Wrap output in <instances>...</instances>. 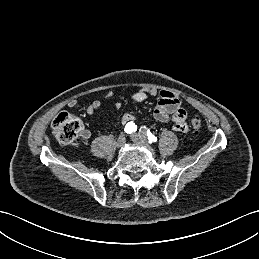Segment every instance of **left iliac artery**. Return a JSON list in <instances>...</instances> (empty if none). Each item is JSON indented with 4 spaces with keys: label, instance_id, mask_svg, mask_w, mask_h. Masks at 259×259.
Instances as JSON below:
<instances>
[{
    "label": "left iliac artery",
    "instance_id": "44dca946",
    "mask_svg": "<svg viewBox=\"0 0 259 259\" xmlns=\"http://www.w3.org/2000/svg\"><path fill=\"white\" fill-rule=\"evenodd\" d=\"M140 134L141 137L145 138V136L147 137L149 143H153L157 141V137H155L150 130H147L146 132H143L142 130H140Z\"/></svg>",
    "mask_w": 259,
    "mask_h": 259
}]
</instances>
